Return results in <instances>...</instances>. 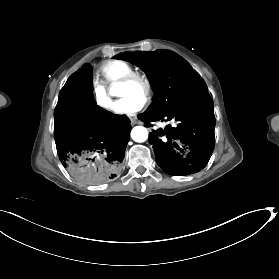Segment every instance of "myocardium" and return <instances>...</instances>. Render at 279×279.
Segmentation results:
<instances>
[{
  "mask_svg": "<svg viewBox=\"0 0 279 279\" xmlns=\"http://www.w3.org/2000/svg\"><path fill=\"white\" fill-rule=\"evenodd\" d=\"M118 85L138 86L142 89V95L144 100H149L151 97V82L145 75H142L140 73H129L120 80Z\"/></svg>",
  "mask_w": 279,
  "mask_h": 279,
  "instance_id": "f54148a6",
  "label": "myocardium"
}]
</instances>
